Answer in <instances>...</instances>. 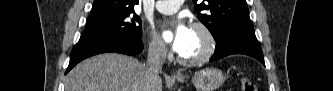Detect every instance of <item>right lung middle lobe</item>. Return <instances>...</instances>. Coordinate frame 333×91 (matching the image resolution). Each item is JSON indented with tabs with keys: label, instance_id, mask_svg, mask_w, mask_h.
Wrapping results in <instances>:
<instances>
[{
	"label": "right lung middle lobe",
	"instance_id": "obj_1",
	"mask_svg": "<svg viewBox=\"0 0 333 91\" xmlns=\"http://www.w3.org/2000/svg\"><path fill=\"white\" fill-rule=\"evenodd\" d=\"M84 33L122 34L132 39H141V19L134 13V10L109 16L91 18L88 21Z\"/></svg>",
	"mask_w": 333,
	"mask_h": 91
}]
</instances>
